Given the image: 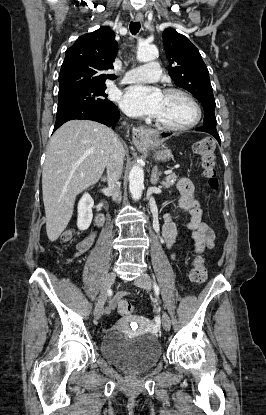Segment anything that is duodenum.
Returning <instances> with one entry per match:
<instances>
[{
  "mask_svg": "<svg viewBox=\"0 0 266 415\" xmlns=\"http://www.w3.org/2000/svg\"><path fill=\"white\" fill-rule=\"evenodd\" d=\"M95 222H96V224L98 226L103 225V223H104V215L102 213L97 214L96 217H95Z\"/></svg>",
  "mask_w": 266,
  "mask_h": 415,
  "instance_id": "410a0bca",
  "label": "duodenum"
}]
</instances>
